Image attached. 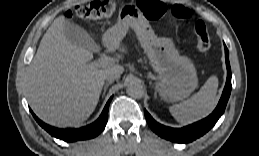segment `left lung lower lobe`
Wrapping results in <instances>:
<instances>
[{"mask_svg":"<svg viewBox=\"0 0 259 156\" xmlns=\"http://www.w3.org/2000/svg\"><path fill=\"white\" fill-rule=\"evenodd\" d=\"M225 60L227 66V80L220 98V101L215 110L208 117L200 120L194 124L185 126L183 128H171L156 122L151 115L144 110L145 118L150 128L160 137L176 143H189L201 137L208 132L218 121L225 111L230 93H231V68L229 64L228 49L225 46Z\"/></svg>","mask_w":259,"mask_h":156,"instance_id":"1","label":"left lung lower lobe"}]
</instances>
